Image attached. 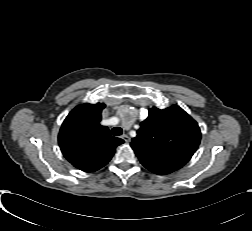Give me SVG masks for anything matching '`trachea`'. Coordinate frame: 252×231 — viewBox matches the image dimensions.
Masks as SVG:
<instances>
[{"mask_svg": "<svg viewBox=\"0 0 252 231\" xmlns=\"http://www.w3.org/2000/svg\"><path fill=\"white\" fill-rule=\"evenodd\" d=\"M122 128H120V127H114V128H112V135H114V136H120V135H122Z\"/></svg>", "mask_w": 252, "mask_h": 231, "instance_id": "trachea-1", "label": "trachea"}]
</instances>
